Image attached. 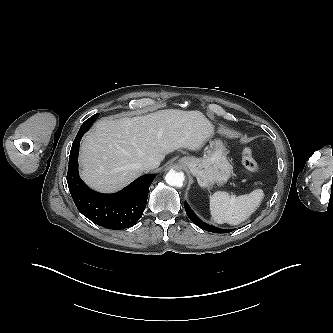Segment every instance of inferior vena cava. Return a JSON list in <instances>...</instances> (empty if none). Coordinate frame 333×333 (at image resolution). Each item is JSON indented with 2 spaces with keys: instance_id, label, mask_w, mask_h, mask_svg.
<instances>
[{
  "instance_id": "1",
  "label": "inferior vena cava",
  "mask_w": 333,
  "mask_h": 333,
  "mask_svg": "<svg viewBox=\"0 0 333 333\" xmlns=\"http://www.w3.org/2000/svg\"><path fill=\"white\" fill-rule=\"evenodd\" d=\"M159 164H160L159 161L149 158V159L144 160L141 163V167L145 170H150V169L157 168L159 166Z\"/></svg>"
}]
</instances>
